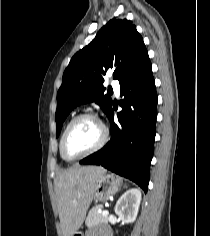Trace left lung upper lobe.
<instances>
[{
  "label": "left lung upper lobe",
  "mask_w": 210,
  "mask_h": 236,
  "mask_svg": "<svg viewBox=\"0 0 210 236\" xmlns=\"http://www.w3.org/2000/svg\"><path fill=\"white\" fill-rule=\"evenodd\" d=\"M149 59L141 35L126 19H112L93 41L78 51L64 71L57 93L56 136L68 114L79 104L95 101L106 115L112 99L105 93L104 78L108 70L120 85L132 77Z\"/></svg>",
  "instance_id": "5c2ea615"
}]
</instances>
